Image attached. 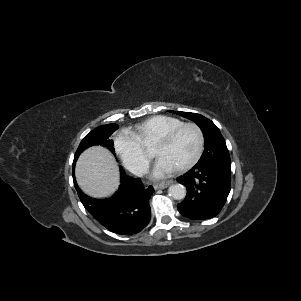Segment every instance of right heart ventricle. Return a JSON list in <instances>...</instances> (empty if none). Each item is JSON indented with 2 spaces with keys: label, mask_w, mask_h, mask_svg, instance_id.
<instances>
[{
  "label": "right heart ventricle",
  "mask_w": 301,
  "mask_h": 301,
  "mask_svg": "<svg viewBox=\"0 0 301 301\" xmlns=\"http://www.w3.org/2000/svg\"><path fill=\"white\" fill-rule=\"evenodd\" d=\"M182 123L183 121L176 117L157 115L134 125L128 131L136 136L143 144L157 139L160 135Z\"/></svg>",
  "instance_id": "1"
}]
</instances>
